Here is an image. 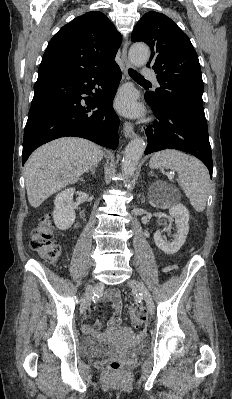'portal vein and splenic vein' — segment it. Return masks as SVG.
<instances>
[{
	"label": "portal vein and splenic vein",
	"mask_w": 232,
	"mask_h": 399,
	"mask_svg": "<svg viewBox=\"0 0 232 399\" xmlns=\"http://www.w3.org/2000/svg\"><path fill=\"white\" fill-rule=\"evenodd\" d=\"M174 172H170V176H173Z\"/></svg>",
	"instance_id": "1"
}]
</instances>
